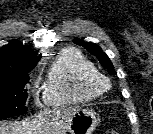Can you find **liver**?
Wrapping results in <instances>:
<instances>
[{"label":"liver","mask_w":153,"mask_h":134,"mask_svg":"<svg viewBox=\"0 0 153 134\" xmlns=\"http://www.w3.org/2000/svg\"><path fill=\"white\" fill-rule=\"evenodd\" d=\"M76 111V108H67L45 113L32 121L0 123V134H43V132L65 134Z\"/></svg>","instance_id":"1"}]
</instances>
